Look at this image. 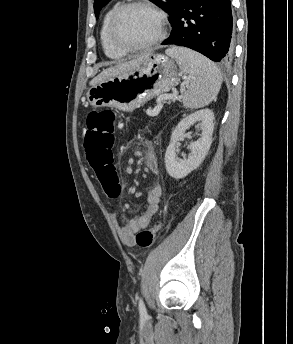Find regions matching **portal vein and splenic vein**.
Listing matches in <instances>:
<instances>
[{
	"instance_id": "18ae733b",
	"label": "portal vein and splenic vein",
	"mask_w": 293,
	"mask_h": 344,
	"mask_svg": "<svg viewBox=\"0 0 293 344\" xmlns=\"http://www.w3.org/2000/svg\"><path fill=\"white\" fill-rule=\"evenodd\" d=\"M172 99V98H177V95H163V96H160V97H158V99H157V106L154 108V110L152 111V113H151V115L152 116H156L159 112H160V110H161V108H162V101L163 100H165V99Z\"/></svg>"
}]
</instances>
